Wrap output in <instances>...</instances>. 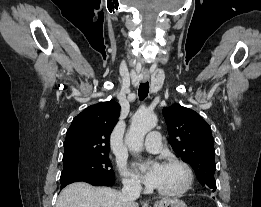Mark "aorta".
<instances>
[{"mask_svg": "<svg viewBox=\"0 0 261 207\" xmlns=\"http://www.w3.org/2000/svg\"><path fill=\"white\" fill-rule=\"evenodd\" d=\"M157 125V117L152 112L138 111L134 114L126 135V144L134 151H140L145 135Z\"/></svg>", "mask_w": 261, "mask_h": 207, "instance_id": "762f6f07", "label": "aorta"}]
</instances>
